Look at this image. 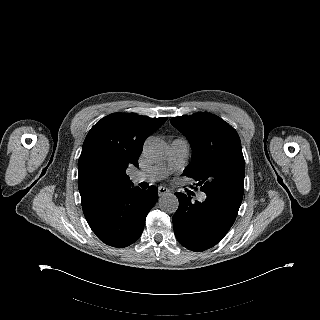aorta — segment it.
Returning a JSON list of instances; mask_svg holds the SVG:
<instances>
[{"label": "aorta", "mask_w": 320, "mask_h": 320, "mask_svg": "<svg viewBox=\"0 0 320 320\" xmlns=\"http://www.w3.org/2000/svg\"><path fill=\"white\" fill-rule=\"evenodd\" d=\"M168 145L159 138H149L144 144V155L151 162H160L168 155ZM160 209L166 213H175L179 206L178 198L173 194H165L159 199Z\"/></svg>", "instance_id": "762f6f07"}]
</instances>
